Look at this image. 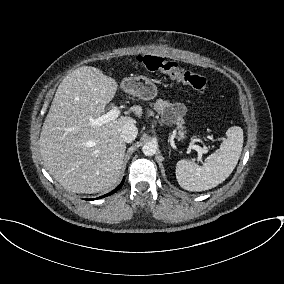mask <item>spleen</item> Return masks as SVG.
Masks as SVG:
<instances>
[{
  "mask_svg": "<svg viewBox=\"0 0 284 284\" xmlns=\"http://www.w3.org/2000/svg\"><path fill=\"white\" fill-rule=\"evenodd\" d=\"M243 147V130L233 126L226 131L220 148L203 165L182 159L176 165V179L188 191H205L225 181L235 169Z\"/></svg>",
  "mask_w": 284,
  "mask_h": 284,
  "instance_id": "spleen-1",
  "label": "spleen"
}]
</instances>
